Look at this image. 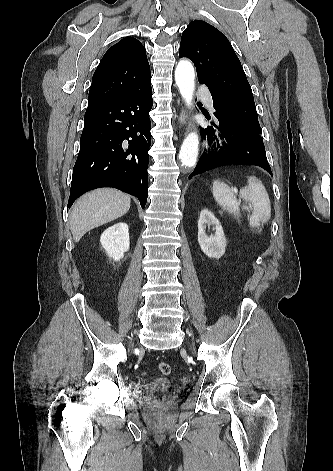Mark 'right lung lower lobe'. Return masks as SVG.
Returning <instances> with one entry per match:
<instances>
[{
	"instance_id": "right-lung-lower-lobe-1",
	"label": "right lung lower lobe",
	"mask_w": 333,
	"mask_h": 471,
	"mask_svg": "<svg viewBox=\"0 0 333 471\" xmlns=\"http://www.w3.org/2000/svg\"><path fill=\"white\" fill-rule=\"evenodd\" d=\"M150 80L122 96L87 108L68 208L85 192L100 187H114L129 193L145 207L151 145Z\"/></svg>"
}]
</instances>
